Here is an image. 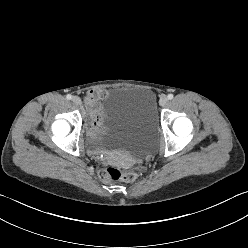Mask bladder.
<instances>
[{"label": "bladder", "mask_w": 248, "mask_h": 248, "mask_svg": "<svg viewBox=\"0 0 248 248\" xmlns=\"http://www.w3.org/2000/svg\"><path fill=\"white\" fill-rule=\"evenodd\" d=\"M155 98L150 90L123 89L103 104V123L95 138L98 148L135 157L151 153L156 144Z\"/></svg>", "instance_id": "1"}]
</instances>
